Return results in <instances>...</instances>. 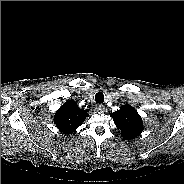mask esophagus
I'll use <instances>...</instances> for the list:
<instances>
[{"instance_id": "obj_1", "label": "esophagus", "mask_w": 184, "mask_h": 184, "mask_svg": "<svg viewBox=\"0 0 184 184\" xmlns=\"http://www.w3.org/2000/svg\"><path fill=\"white\" fill-rule=\"evenodd\" d=\"M104 110H105V107H104L103 104H98V105L96 106V111H97V112H104Z\"/></svg>"}]
</instances>
